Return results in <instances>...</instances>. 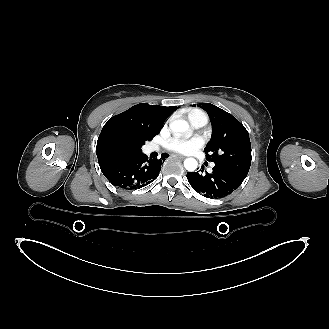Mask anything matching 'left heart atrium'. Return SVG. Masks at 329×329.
Listing matches in <instances>:
<instances>
[{
    "label": "left heart atrium",
    "instance_id": "1",
    "mask_svg": "<svg viewBox=\"0 0 329 329\" xmlns=\"http://www.w3.org/2000/svg\"><path fill=\"white\" fill-rule=\"evenodd\" d=\"M203 145V140L199 136L192 138H171L167 141L166 147L170 151L182 154H190L195 152Z\"/></svg>",
    "mask_w": 329,
    "mask_h": 329
}]
</instances>
